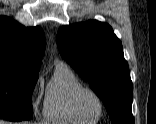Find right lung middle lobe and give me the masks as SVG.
<instances>
[{"instance_id":"obj_1","label":"right lung middle lobe","mask_w":156,"mask_h":124,"mask_svg":"<svg viewBox=\"0 0 156 124\" xmlns=\"http://www.w3.org/2000/svg\"><path fill=\"white\" fill-rule=\"evenodd\" d=\"M38 76V73L0 67V118L28 120L32 117L31 96Z\"/></svg>"}]
</instances>
